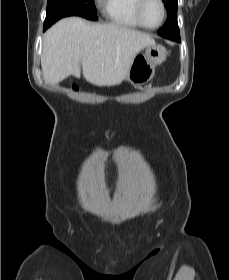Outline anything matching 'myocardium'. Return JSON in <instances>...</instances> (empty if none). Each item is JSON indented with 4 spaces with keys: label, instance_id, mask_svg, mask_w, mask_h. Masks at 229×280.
<instances>
[{
    "label": "myocardium",
    "instance_id": "obj_1",
    "mask_svg": "<svg viewBox=\"0 0 229 280\" xmlns=\"http://www.w3.org/2000/svg\"><path fill=\"white\" fill-rule=\"evenodd\" d=\"M156 1L159 3V5L161 7L162 17H161L160 22L155 26L148 25L144 20L143 11H144V8H145L148 0H138V2H137L136 8H135V15H136L138 22L142 25V27H144L146 29L154 30V29L159 28L163 24V22L166 18V5H165L164 1L163 0H156Z\"/></svg>",
    "mask_w": 229,
    "mask_h": 280
}]
</instances>
